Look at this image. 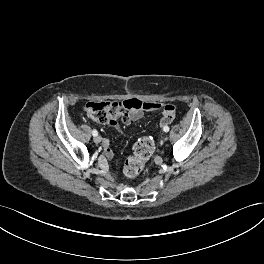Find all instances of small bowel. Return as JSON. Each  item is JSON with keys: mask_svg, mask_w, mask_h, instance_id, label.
<instances>
[{"mask_svg": "<svg viewBox=\"0 0 264 264\" xmlns=\"http://www.w3.org/2000/svg\"><path fill=\"white\" fill-rule=\"evenodd\" d=\"M125 105V109L129 112L127 114L128 120L137 121L141 119L146 111H154L161 109L163 117L161 119V126L171 123L175 118V108L169 104H160L157 102H142L139 99L132 98L122 102ZM169 118L168 121L164 122L165 119ZM104 152L108 158H111L113 153L110 148L108 141H104Z\"/></svg>", "mask_w": 264, "mask_h": 264, "instance_id": "c3829d8e", "label": "small bowel"}]
</instances>
